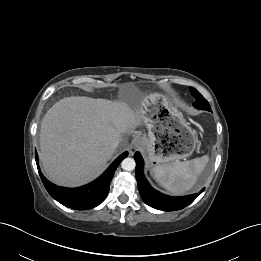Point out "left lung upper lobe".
<instances>
[{
    "label": "left lung upper lobe",
    "instance_id": "5c2ea615",
    "mask_svg": "<svg viewBox=\"0 0 261 261\" xmlns=\"http://www.w3.org/2000/svg\"><path fill=\"white\" fill-rule=\"evenodd\" d=\"M190 93L193 95L196 99V101L193 103V105L201 110H207L210 111L211 107L208 103V101L193 87H190Z\"/></svg>",
    "mask_w": 261,
    "mask_h": 261
}]
</instances>
